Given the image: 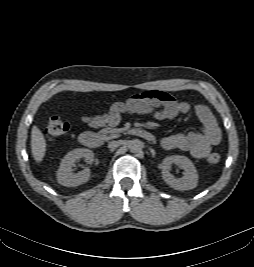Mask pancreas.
<instances>
[{"label": "pancreas", "mask_w": 254, "mask_h": 267, "mask_svg": "<svg viewBox=\"0 0 254 267\" xmlns=\"http://www.w3.org/2000/svg\"><path fill=\"white\" fill-rule=\"evenodd\" d=\"M122 130L121 129H102L101 130V133H110L112 136H116L117 133L121 132Z\"/></svg>", "instance_id": "pancreas-1"}]
</instances>
